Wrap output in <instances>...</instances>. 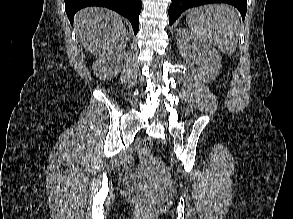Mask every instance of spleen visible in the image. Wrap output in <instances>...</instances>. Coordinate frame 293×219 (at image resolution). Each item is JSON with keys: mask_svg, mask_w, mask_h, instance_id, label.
I'll return each instance as SVG.
<instances>
[{"mask_svg": "<svg viewBox=\"0 0 293 219\" xmlns=\"http://www.w3.org/2000/svg\"><path fill=\"white\" fill-rule=\"evenodd\" d=\"M186 21L198 39L232 55L237 47L240 20L229 5L214 4L190 9Z\"/></svg>", "mask_w": 293, "mask_h": 219, "instance_id": "1", "label": "spleen"}]
</instances>
